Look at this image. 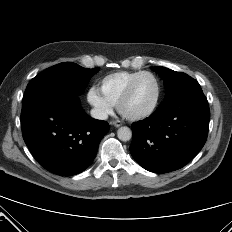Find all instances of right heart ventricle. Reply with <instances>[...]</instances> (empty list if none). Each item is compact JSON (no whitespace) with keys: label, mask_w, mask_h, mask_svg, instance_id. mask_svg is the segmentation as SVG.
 <instances>
[{"label":"right heart ventricle","mask_w":232,"mask_h":232,"mask_svg":"<svg viewBox=\"0 0 232 232\" xmlns=\"http://www.w3.org/2000/svg\"><path fill=\"white\" fill-rule=\"evenodd\" d=\"M139 72L118 71L104 76L99 81V91L113 106L117 105L130 81Z\"/></svg>","instance_id":"e07e8e85"}]
</instances>
